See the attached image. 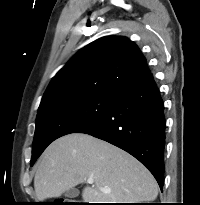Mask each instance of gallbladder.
I'll return each mask as SVG.
<instances>
[{
    "instance_id": "obj_1",
    "label": "gallbladder",
    "mask_w": 200,
    "mask_h": 205,
    "mask_svg": "<svg viewBox=\"0 0 200 205\" xmlns=\"http://www.w3.org/2000/svg\"><path fill=\"white\" fill-rule=\"evenodd\" d=\"M79 195V190L76 188H70L64 192V196L68 198H75Z\"/></svg>"
}]
</instances>
